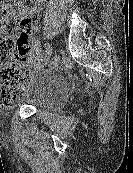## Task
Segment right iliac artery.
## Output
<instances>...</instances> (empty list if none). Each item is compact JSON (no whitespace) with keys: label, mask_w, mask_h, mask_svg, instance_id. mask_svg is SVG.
<instances>
[{"label":"right iliac artery","mask_w":133,"mask_h":173,"mask_svg":"<svg viewBox=\"0 0 133 173\" xmlns=\"http://www.w3.org/2000/svg\"><path fill=\"white\" fill-rule=\"evenodd\" d=\"M52 51L51 46L49 44L45 45V52L46 54L50 53Z\"/></svg>","instance_id":"1"}]
</instances>
